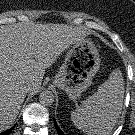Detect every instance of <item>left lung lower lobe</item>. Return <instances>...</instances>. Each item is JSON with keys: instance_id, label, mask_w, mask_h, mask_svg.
Returning a JSON list of instances; mask_svg holds the SVG:
<instances>
[{"instance_id": "0a47b994", "label": "left lung lower lobe", "mask_w": 135, "mask_h": 135, "mask_svg": "<svg viewBox=\"0 0 135 135\" xmlns=\"http://www.w3.org/2000/svg\"><path fill=\"white\" fill-rule=\"evenodd\" d=\"M54 125H55V128H56V130H57V132H58L59 135H65V134L60 130V128L57 126V123H56L55 120H54Z\"/></svg>"}]
</instances>
